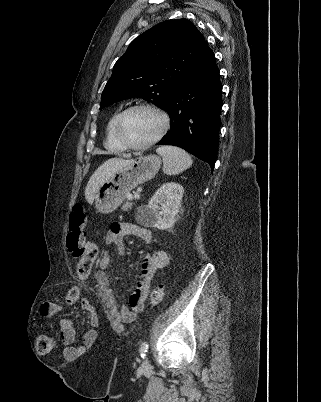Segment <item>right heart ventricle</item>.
<instances>
[{
  "label": "right heart ventricle",
  "instance_id": "e07e8e85",
  "mask_svg": "<svg viewBox=\"0 0 321 402\" xmlns=\"http://www.w3.org/2000/svg\"><path fill=\"white\" fill-rule=\"evenodd\" d=\"M118 114L119 112H116L109 118L105 128V141H104L106 149L115 154H120L125 150V148L118 141L115 134V122Z\"/></svg>",
  "mask_w": 321,
  "mask_h": 402
}]
</instances>
